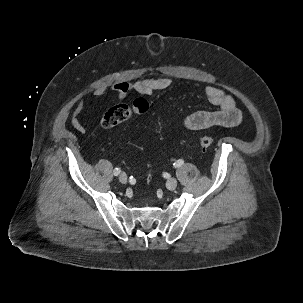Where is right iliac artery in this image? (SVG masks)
I'll list each match as a JSON object with an SVG mask.
<instances>
[{
    "label": "right iliac artery",
    "instance_id": "1",
    "mask_svg": "<svg viewBox=\"0 0 303 303\" xmlns=\"http://www.w3.org/2000/svg\"><path fill=\"white\" fill-rule=\"evenodd\" d=\"M120 172H121V169H120V168H115L114 171H113V174H114L115 176H118V175L120 174Z\"/></svg>",
    "mask_w": 303,
    "mask_h": 303
}]
</instances>
